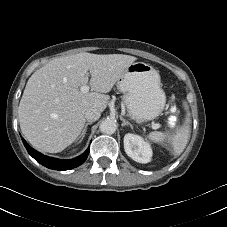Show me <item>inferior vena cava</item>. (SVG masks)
<instances>
[{"instance_id": "obj_1", "label": "inferior vena cava", "mask_w": 227, "mask_h": 227, "mask_svg": "<svg viewBox=\"0 0 227 227\" xmlns=\"http://www.w3.org/2000/svg\"><path fill=\"white\" fill-rule=\"evenodd\" d=\"M101 112L96 108H89L85 112V118L89 122H94L100 118Z\"/></svg>"}]
</instances>
